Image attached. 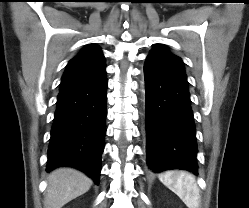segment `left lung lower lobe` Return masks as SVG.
I'll list each match as a JSON object with an SVG mask.
<instances>
[{
  "label": "left lung lower lobe",
  "mask_w": 249,
  "mask_h": 208,
  "mask_svg": "<svg viewBox=\"0 0 249 208\" xmlns=\"http://www.w3.org/2000/svg\"><path fill=\"white\" fill-rule=\"evenodd\" d=\"M144 77L149 170L181 169L197 175L196 129L185 71L147 57Z\"/></svg>",
  "instance_id": "obj_1"
}]
</instances>
